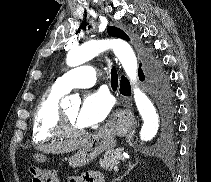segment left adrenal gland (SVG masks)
I'll return each mask as SVG.
<instances>
[{"label":"left adrenal gland","instance_id":"1","mask_svg":"<svg viewBox=\"0 0 211 182\" xmlns=\"http://www.w3.org/2000/svg\"><path fill=\"white\" fill-rule=\"evenodd\" d=\"M137 163H138V162H137ZM137 163L132 164L131 162H129V163H128V170L126 171V173H125L124 175L118 177V178L116 179V181H120V180L123 179L126 175H128L129 172L137 165ZM116 181H115V182H116Z\"/></svg>","mask_w":211,"mask_h":182}]
</instances>
